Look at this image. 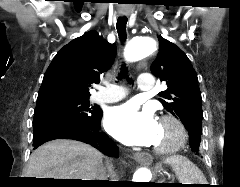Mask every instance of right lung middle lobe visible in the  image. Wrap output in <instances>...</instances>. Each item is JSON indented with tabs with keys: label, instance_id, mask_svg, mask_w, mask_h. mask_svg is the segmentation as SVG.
Returning a JSON list of instances; mask_svg holds the SVG:
<instances>
[{
	"label": "right lung middle lobe",
	"instance_id": "dd1d6c3e",
	"mask_svg": "<svg viewBox=\"0 0 240 187\" xmlns=\"http://www.w3.org/2000/svg\"><path fill=\"white\" fill-rule=\"evenodd\" d=\"M99 113V108L90 106L89 97L59 99L37 105L34 111V124L47 118L58 116L74 122H89Z\"/></svg>",
	"mask_w": 240,
	"mask_h": 187
}]
</instances>
